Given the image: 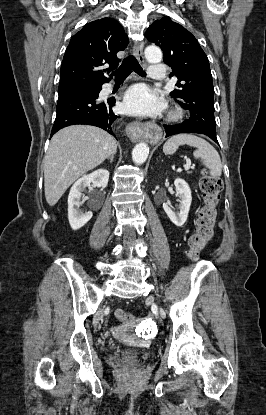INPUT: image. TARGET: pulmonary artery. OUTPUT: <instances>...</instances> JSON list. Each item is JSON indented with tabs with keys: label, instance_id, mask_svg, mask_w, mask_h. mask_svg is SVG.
Instances as JSON below:
<instances>
[{
	"label": "pulmonary artery",
	"instance_id": "obj_1",
	"mask_svg": "<svg viewBox=\"0 0 266 415\" xmlns=\"http://www.w3.org/2000/svg\"><path fill=\"white\" fill-rule=\"evenodd\" d=\"M148 75L153 80H163L165 78V67L162 64H153L149 67Z\"/></svg>",
	"mask_w": 266,
	"mask_h": 415
}]
</instances>
